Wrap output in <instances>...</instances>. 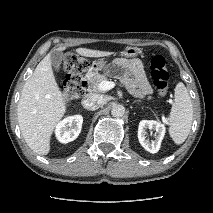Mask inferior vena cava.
Listing matches in <instances>:
<instances>
[{
    "label": "inferior vena cava",
    "mask_w": 213,
    "mask_h": 213,
    "mask_svg": "<svg viewBox=\"0 0 213 213\" xmlns=\"http://www.w3.org/2000/svg\"><path fill=\"white\" fill-rule=\"evenodd\" d=\"M107 102V98L103 95L88 94L82 100V106L87 110H97Z\"/></svg>",
    "instance_id": "inferior-vena-cava-1"
}]
</instances>
